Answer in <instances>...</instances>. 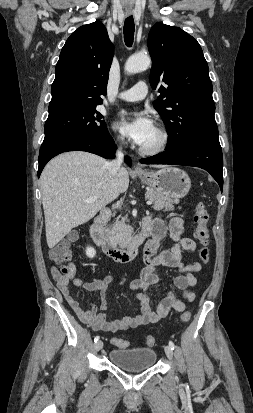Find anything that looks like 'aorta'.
I'll return each instance as SVG.
<instances>
[{
	"mask_svg": "<svg viewBox=\"0 0 253 413\" xmlns=\"http://www.w3.org/2000/svg\"><path fill=\"white\" fill-rule=\"evenodd\" d=\"M151 64V59L148 55H132L125 63V71L129 74H135L147 69Z\"/></svg>",
	"mask_w": 253,
	"mask_h": 413,
	"instance_id": "762f6f07",
	"label": "aorta"
}]
</instances>
